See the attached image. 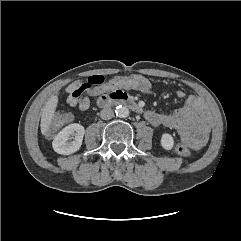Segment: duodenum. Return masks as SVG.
<instances>
[{"mask_svg":"<svg viewBox=\"0 0 241 241\" xmlns=\"http://www.w3.org/2000/svg\"><path fill=\"white\" fill-rule=\"evenodd\" d=\"M126 105L134 111L140 112V106L125 92L117 90L113 96H100L98 105L108 107L111 105Z\"/></svg>","mask_w":241,"mask_h":241,"instance_id":"duodenum-1","label":"duodenum"}]
</instances>
